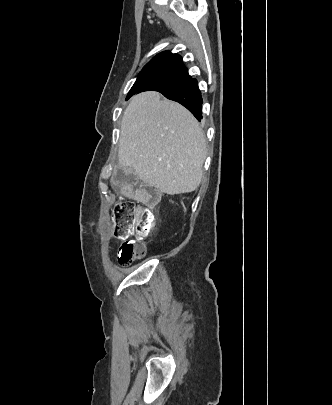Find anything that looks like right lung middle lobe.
<instances>
[{
    "mask_svg": "<svg viewBox=\"0 0 332 405\" xmlns=\"http://www.w3.org/2000/svg\"><path fill=\"white\" fill-rule=\"evenodd\" d=\"M185 81L182 77L159 72H143L138 75L130 91L164 90Z\"/></svg>",
    "mask_w": 332,
    "mask_h": 405,
    "instance_id": "right-lung-middle-lobe-1",
    "label": "right lung middle lobe"
}]
</instances>
